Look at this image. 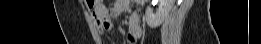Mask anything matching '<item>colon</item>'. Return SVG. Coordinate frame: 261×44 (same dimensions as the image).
Returning <instances> with one entry per match:
<instances>
[{"label": "colon", "mask_w": 261, "mask_h": 44, "mask_svg": "<svg viewBox=\"0 0 261 44\" xmlns=\"http://www.w3.org/2000/svg\"><path fill=\"white\" fill-rule=\"evenodd\" d=\"M98 4H101L100 2H97V1H88L87 2V5L88 6H97Z\"/></svg>", "instance_id": "colon-1"}]
</instances>
